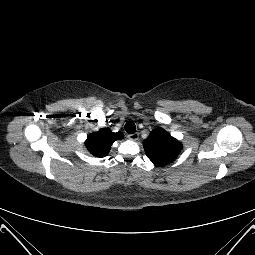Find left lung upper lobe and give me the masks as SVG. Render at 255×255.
<instances>
[{
	"instance_id": "1",
	"label": "left lung upper lobe",
	"mask_w": 255,
	"mask_h": 255,
	"mask_svg": "<svg viewBox=\"0 0 255 255\" xmlns=\"http://www.w3.org/2000/svg\"><path fill=\"white\" fill-rule=\"evenodd\" d=\"M143 146L147 157L157 166L173 162L182 148L180 142L162 128L151 131Z\"/></svg>"
}]
</instances>
